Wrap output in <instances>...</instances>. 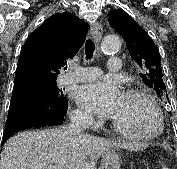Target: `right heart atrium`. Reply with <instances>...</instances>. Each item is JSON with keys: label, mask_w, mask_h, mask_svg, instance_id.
I'll return each mask as SVG.
<instances>
[{"label": "right heart atrium", "mask_w": 177, "mask_h": 169, "mask_svg": "<svg viewBox=\"0 0 177 169\" xmlns=\"http://www.w3.org/2000/svg\"><path fill=\"white\" fill-rule=\"evenodd\" d=\"M72 118L76 123H84L88 125H94L97 123L89 113L82 110H75L73 112Z\"/></svg>", "instance_id": "d8ad5b80"}]
</instances>
